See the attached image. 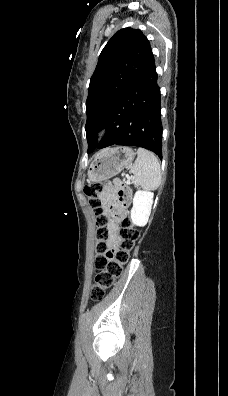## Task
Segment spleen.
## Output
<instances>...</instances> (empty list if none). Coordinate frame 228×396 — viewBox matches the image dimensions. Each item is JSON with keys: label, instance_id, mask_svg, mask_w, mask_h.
Returning a JSON list of instances; mask_svg holds the SVG:
<instances>
[{"label": "spleen", "instance_id": "spleen-1", "mask_svg": "<svg viewBox=\"0 0 228 396\" xmlns=\"http://www.w3.org/2000/svg\"><path fill=\"white\" fill-rule=\"evenodd\" d=\"M135 186L146 190H155L161 184V168L158 158L150 151L139 148L137 159L131 167Z\"/></svg>", "mask_w": 228, "mask_h": 396}]
</instances>
